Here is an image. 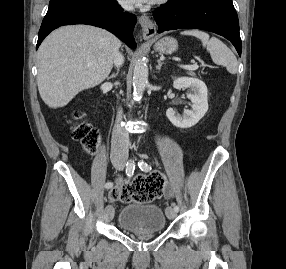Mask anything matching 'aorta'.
<instances>
[{
	"mask_svg": "<svg viewBox=\"0 0 286 269\" xmlns=\"http://www.w3.org/2000/svg\"><path fill=\"white\" fill-rule=\"evenodd\" d=\"M148 82V66L145 59H138L134 66L133 87L134 98L141 99Z\"/></svg>",
	"mask_w": 286,
	"mask_h": 269,
	"instance_id": "1",
	"label": "aorta"
}]
</instances>
